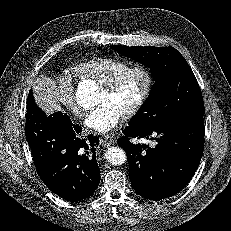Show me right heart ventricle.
I'll list each match as a JSON object with an SVG mask.
<instances>
[{
  "instance_id": "1",
  "label": "right heart ventricle",
  "mask_w": 231,
  "mask_h": 231,
  "mask_svg": "<svg viewBox=\"0 0 231 231\" xmlns=\"http://www.w3.org/2000/svg\"><path fill=\"white\" fill-rule=\"evenodd\" d=\"M127 66L126 61L118 58L96 57L75 64L72 70L79 78L91 79L102 85Z\"/></svg>"
}]
</instances>
